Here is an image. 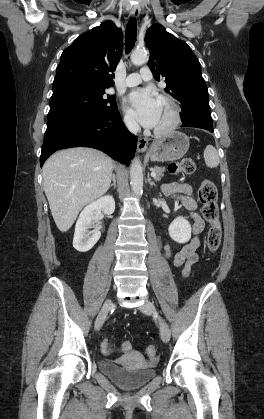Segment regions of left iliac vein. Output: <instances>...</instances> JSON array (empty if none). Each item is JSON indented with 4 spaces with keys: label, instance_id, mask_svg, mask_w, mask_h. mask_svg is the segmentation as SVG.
I'll list each match as a JSON object with an SVG mask.
<instances>
[{
    "label": "left iliac vein",
    "instance_id": "obj_1",
    "mask_svg": "<svg viewBox=\"0 0 264 419\" xmlns=\"http://www.w3.org/2000/svg\"><path fill=\"white\" fill-rule=\"evenodd\" d=\"M143 313L146 314H156L159 321L160 327V334L161 338L164 342H168L170 340V329L166 321L158 316L154 304L150 300H145V302L139 308Z\"/></svg>",
    "mask_w": 264,
    "mask_h": 419
}]
</instances>
